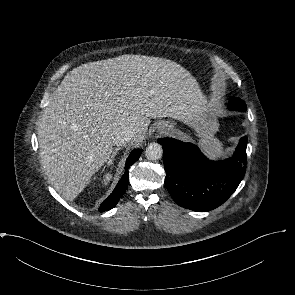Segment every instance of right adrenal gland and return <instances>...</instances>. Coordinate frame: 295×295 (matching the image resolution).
<instances>
[{"mask_svg":"<svg viewBox=\"0 0 295 295\" xmlns=\"http://www.w3.org/2000/svg\"><path fill=\"white\" fill-rule=\"evenodd\" d=\"M119 150H121V148L120 147H118V148H115V150L113 151V153H112V156H111V158L109 159V161H108V165H111L112 163H113V161H114V159H115V157L117 156V154L119 153Z\"/></svg>","mask_w":295,"mask_h":295,"instance_id":"right-adrenal-gland-1","label":"right adrenal gland"}]
</instances>
